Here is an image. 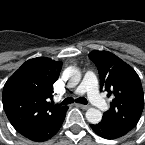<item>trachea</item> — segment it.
I'll use <instances>...</instances> for the list:
<instances>
[{
  "mask_svg": "<svg viewBox=\"0 0 145 145\" xmlns=\"http://www.w3.org/2000/svg\"><path fill=\"white\" fill-rule=\"evenodd\" d=\"M74 101H75L76 103H81V104H87V103H88L87 100H86L85 98H83V97H79V98H77V99H73L72 97H68V98L64 99V100L61 102V104H62V105H67V104L73 103Z\"/></svg>",
  "mask_w": 145,
  "mask_h": 145,
  "instance_id": "trachea-1",
  "label": "trachea"
}]
</instances>
